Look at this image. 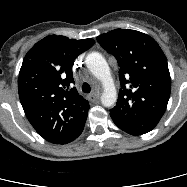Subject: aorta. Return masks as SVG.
Segmentation results:
<instances>
[{
  "label": "aorta",
  "mask_w": 187,
  "mask_h": 187,
  "mask_svg": "<svg viewBox=\"0 0 187 187\" xmlns=\"http://www.w3.org/2000/svg\"><path fill=\"white\" fill-rule=\"evenodd\" d=\"M85 63L90 72L102 82V105L112 107L117 101V92L106 60L100 53L92 52L87 55Z\"/></svg>",
  "instance_id": "aorta-1"
}]
</instances>
